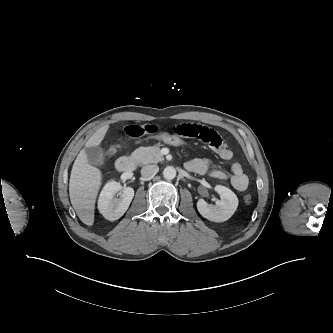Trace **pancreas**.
<instances>
[{"instance_id": "pancreas-1", "label": "pancreas", "mask_w": 333, "mask_h": 333, "mask_svg": "<svg viewBox=\"0 0 333 333\" xmlns=\"http://www.w3.org/2000/svg\"><path fill=\"white\" fill-rule=\"evenodd\" d=\"M131 158L139 165L163 162L164 157L157 145L150 147H139L132 154Z\"/></svg>"}]
</instances>
